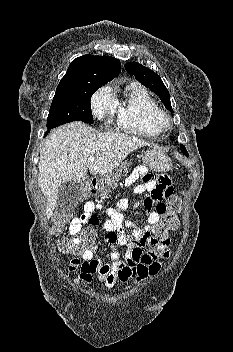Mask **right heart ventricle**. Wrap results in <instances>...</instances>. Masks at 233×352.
Instances as JSON below:
<instances>
[{"label": "right heart ventricle", "instance_id": "e07e8e85", "mask_svg": "<svg viewBox=\"0 0 233 352\" xmlns=\"http://www.w3.org/2000/svg\"><path fill=\"white\" fill-rule=\"evenodd\" d=\"M160 111L148 91L138 84H131L122 101H117V127L119 130L138 136H156L163 129L152 122Z\"/></svg>", "mask_w": 233, "mask_h": 352}]
</instances>
